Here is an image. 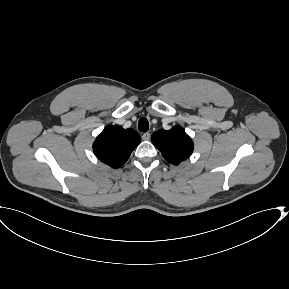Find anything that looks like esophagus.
<instances>
[{"label": "esophagus", "instance_id": "esophagus-1", "mask_svg": "<svg viewBox=\"0 0 289 289\" xmlns=\"http://www.w3.org/2000/svg\"><path fill=\"white\" fill-rule=\"evenodd\" d=\"M151 137V134L149 132H146L142 135V139L145 141H148Z\"/></svg>", "mask_w": 289, "mask_h": 289}]
</instances>
